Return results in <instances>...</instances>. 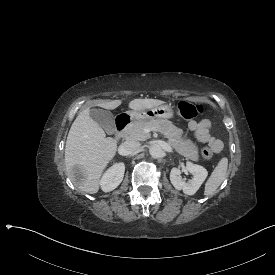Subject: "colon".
Segmentation results:
<instances>
[{
    "mask_svg": "<svg viewBox=\"0 0 275 275\" xmlns=\"http://www.w3.org/2000/svg\"><path fill=\"white\" fill-rule=\"evenodd\" d=\"M211 111V106L208 103H191L189 101H180L177 107V115L184 119H195L208 114ZM200 155L204 159H210L213 156V151L209 147H204L200 150Z\"/></svg>",
    "mask_w": 275,
    "mask_h": 275,
    "instance_id": "5ec220e1",
    "label": "colon"
}]
</instances>
